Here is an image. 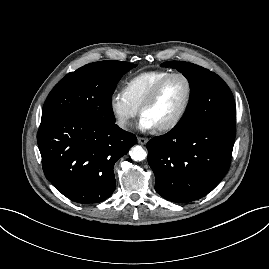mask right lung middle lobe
Listing matches in <instances>:
<instances>
[{
  "instance_id": "right-lung-middle-lobe-1",
  "label": "right lung middle lobe",
  "mask_w": 269,
  "mask_h": 269,
  "mask_svg": "<svg viewBox=\"0 0 269 269\" xmlns=\"http://www.w3.org/2000/svg\"><path fill=\"white\" fill-rule=\"evenodd\" d=\"M136 66L128 62L100 61L68 73L48 95L42 118L67 114L100 124L115 123L112 94L121 77Z\"/></svg>"
}]
</instances>
